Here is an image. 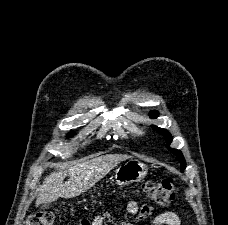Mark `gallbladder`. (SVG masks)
<instances>
[{
	"label": "gallbladder",
	"instance_id": "1",
	"mask_svg": "<svg viewBox=\"0 0 228 225\" xmlns=\"http://www.w3.org/2000/svg\"><path fill=\"white\" fill-rule=\"evenodd\" d=\"M50 207V203H42L41 209H48Z\"/></svg>",
	"mask_w": 228,
	"mask_h": 225
}]
</instances>
